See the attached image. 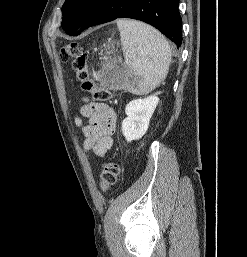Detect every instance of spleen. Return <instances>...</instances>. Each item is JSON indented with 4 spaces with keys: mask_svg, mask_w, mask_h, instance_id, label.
I'll return each instance as SVG.
<instances>
[{
    "mask_svg": "<svg viewBox=\"0 0 247 257\" xmlns=\"http://www.w3.org/2000/svg\"><path fill=\"white\" fill-rule=\"evenodd\" d=\"M117 26L124 63L134 78L131 88L136 86L140 93H147L165 80L171 62V47L159 31L140 21L119 19Z\"/></svg>",
    "mask_w": 247,
    "mask_h": 257,
    "instance_id": "obj_1",
    "label": "spleen"
}]
</instances>
